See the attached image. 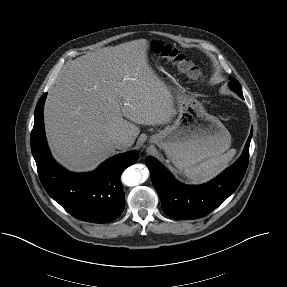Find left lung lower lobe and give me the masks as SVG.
<instances>
[{"label": "left lung lower lobe", "instance_id": "obj_1", "mask_svg": "<svg viewBox=\"0 0 287 287\" xmlns=\"http://www.w3.org/2000/svg\"><path fill=\"white\" fill-rule=\"evenodd\" d=\"M251 137L252 130L236 163L203 185L181 184L155 158L147 157L146 164L163 211L174 219H196L209 214L224 202L236 190L246 172Z\"/></svg>", "mask_w": 287, "mask_h": 287}]
</instances>
